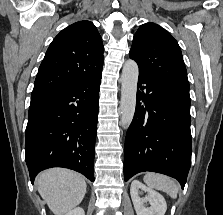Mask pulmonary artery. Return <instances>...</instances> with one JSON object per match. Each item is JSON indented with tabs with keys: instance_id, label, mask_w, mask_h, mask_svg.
Returning <instances> with one entry per match:
<instances>
[{
	"instance_id": "obj_1",
	"label": "pulmonary artery",
	"mask_w": 223,
	"mask_h": 215,
	"mask_svg": "<svg viewBox=\"0 0 223 215\" xmlns=\"http://www.w3.org/2000/svg\"><path fill=\"white\" fill-rule=\"evenodd\" d=\"M142 86H145V83H142Z\"/></svg>"
}]
</instances>
